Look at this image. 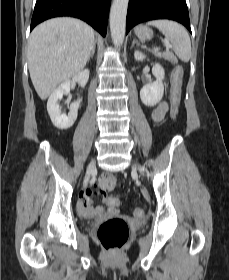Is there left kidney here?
Masks as SVG:
<instances>
[{"label": "left kidney", "instance_id": "1", "mask_svg": "<svg viewBox=\"0 0 229 280\" xmlns=\"http://www.w3.org/2000/svg\"><path fill=\"white\" fill-rule=\"evenodd\" d=\"M134 57L137 61H143L145 59V55H143L139 51H135ZM152 74L156 77V81L143 86L140 91L141 101L143 102V104L150 107L158 104L163 97V79L165 76V71L161 65L155 63L152 68Z\"/></svg>", "mask_w": 229, "mask_h": 280}]
</instances>
